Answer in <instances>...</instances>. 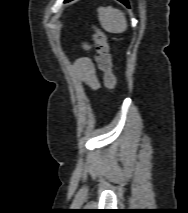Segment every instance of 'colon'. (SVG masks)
I'll list each match as a JSON object with an SVG mask.
<instances>
[{"label": "colon", "instance_id": "colon-1", "mask_svg": "<svg viewBox=\"0 0 188 213\" xmlns=\"http://www.w3.org/2000/svg\"><path fill=\"white\" fill-rule=\"evenodd\" d=\"M94 42L96 47V62L103 73L105 85L114 90L116 87V75L112 69L111 55L106 34L101 30L94 33Z\"/></svg>", "mask_w": 188, "mask_h": 213}]
</instances>
